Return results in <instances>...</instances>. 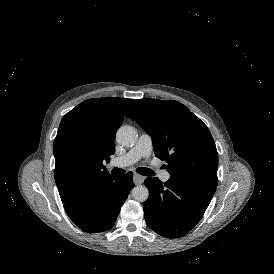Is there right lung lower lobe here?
I'll list each match as a JSON object with an SVG mask.
<instances>
[{"mask_svg":"<svg viewBox=\"0 0 274 274\" xmlns=\"http://www.w3.org/2000/svg\"><path fill=\"white\" fill-rule=\"evenodd\" d=\"M132 176L133 173L128 172L98 181L84 195L64 204L66 213L85 232H103L110 229L134 187Z\"/></svg>","mask_w":274,"mask_h":274,"instance_id":"98d812e1","label":"right lung lower lobe"}]
</instances>
